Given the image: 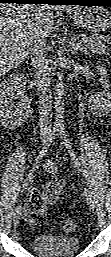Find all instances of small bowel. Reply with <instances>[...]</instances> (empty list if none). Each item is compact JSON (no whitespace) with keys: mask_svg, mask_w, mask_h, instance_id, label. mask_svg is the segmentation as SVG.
Masks as SVG:
<instances>
[{"mask_svg":"<svg viewBox=\"0 0 111 257\" xmlns=\"http://www.w3.org/2000/svg\"><path fill=\"white\" fill-rule=\"evenodd\" d=\"M44 170L48 174H55L57 172V166L53 161L49 160L45 162ZM65 186L66 182L63 178L57 181H45L43 184V194H33L26 205V220L37 226L43 224L46 219L47 206L53 204L58 199Z\"/></svg>","mask_w":111,"mask_h":257,"instance_id":"obj_1","label":"small bowel"}]
</instances>
